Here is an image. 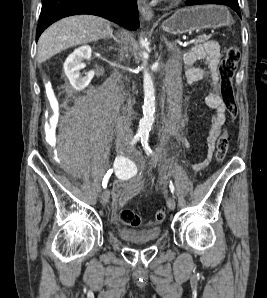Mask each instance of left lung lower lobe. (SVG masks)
<instances>
[{"label": "left lung lower lobe", "mask_w": 267, "mask_h": 298, "mask_svg": "<svg viewBox=\"0 0 267 298\" xmlns=\"http://www.w3.org/2000/svg\"><path fill=\"white\" fill-rule=\"evenodd\" d=\"M198 4H221L232 8L241 17L238 0H188L186 5H198Z\"/></svg>", "instance_id": "1"}]
</instances>
